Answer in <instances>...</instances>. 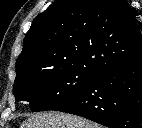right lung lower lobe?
<instances>
[{"instance_id": "obj_1", "label": "right lung lower lobe", "mask_w": 142, "mask_h": 128, "mask_svg": "<svg viewBox=\"0 0 142 128\" xmlns=\"http://www.w3.org/2000/svg\"><path fill=\"white\" fill-rule=\"evenodd\" d=\"M55 111L110 128H142V54L95 74L82 93Z\"/></svg>"}]
</instances>
